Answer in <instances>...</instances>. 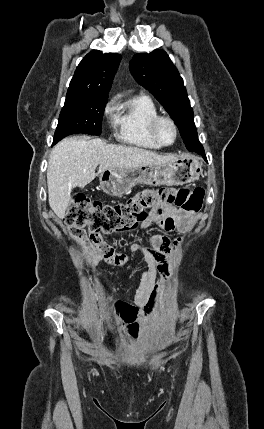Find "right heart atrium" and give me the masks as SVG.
<instances>
[{
    "label": "right heart atrium",
    "instance_id": "1",
    "mask_svg": "<svg viewBox=\"0 0 264 429\" xmlns=\"http://www.w3.org/2000/svg\"><path fill=\"white\" fill-rule=\"evenodd\" d=\"M117 109V101L115 98L109 99L104 106V115L107 117H112Z\"/></svg>",
    "mask_w": 264,
    "mask_h": 429
}]
</instances>
